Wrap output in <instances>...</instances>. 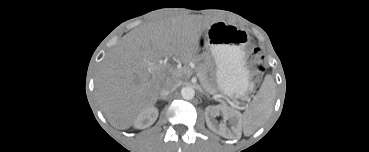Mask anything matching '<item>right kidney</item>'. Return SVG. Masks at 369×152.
<instances>
[{
    "mask_svg": "<svg viewBox=\"0 0 369 152\" xmlns=\"http://www.w3.org/2000/svg\"><path fill=\"white\" fill-rule=\"evenodd\" d=\"M159 112L156 107H150L143 110L135 119L133 126L136 129H145L150 127L158 118Z\"/></svg>",
    "mask_w": 369,
    "mask_h": 152,
    "instance_id": "ca27d5eb",
    "label": "right kidney"
}]
</instances>
